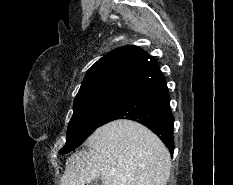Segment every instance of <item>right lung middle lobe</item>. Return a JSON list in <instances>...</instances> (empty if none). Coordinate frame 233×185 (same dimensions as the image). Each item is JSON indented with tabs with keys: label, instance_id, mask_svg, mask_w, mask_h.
<instances>
[{
	"label": "right lung middle lobe",
	"instance_id": "1",
	"mask_svg": "<svg viewBox=\"0 0 233 185\" xmlns=\"http://www.w3.org/2000/svg\"><path fill=\"white\" fill-rule=\"evenodd\" d=\"M129 91L122 88H106L76 96L66 143L60 154L69 153L80 146Z\"/></svg>",
	"mask_w": 233,
	"mask_h": 185
}]
</instances>
